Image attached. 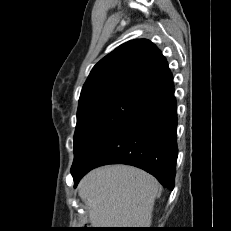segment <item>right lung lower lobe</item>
<instances>
[{
  "mask_svg": "<svg viewBox=\"0 0 231 231\" xmlns=\"http://www.w3.org/2000/svg\"><path fill=\"white\" fill-rule=\"evenodd\" d=\"M177 106L174 91L147 101L142 108L106 137L71 173L74 186L90 170L106 164H127L174 187L177 159Z\"/></svg>",
  "mask_w": 231,
  "mask_h": 231,
  "instance_id": "1",
  "label": "right lung lower lobe"
}]
</instances>
